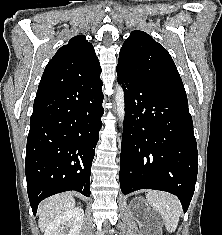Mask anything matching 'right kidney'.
Segmentation results:
<instances>
[{
	"mask_svg": "<svg viewBox=\"0 0 222 235\" xmlns=\"http://www.w3.org/2000/svg\"><path fill=\"white\" fill-rule=\"evenodd\" d=\"M84 211L74 208L57 216L46 228L44 235H79L83 223ZM69 228L68 234L64 229Z\"/></svg>",
	"mask_w": 222,
	"mask_h": 235,
	"instance_id": "ca27d5eb",
	"label": "right kidney"
}]
</instances>
